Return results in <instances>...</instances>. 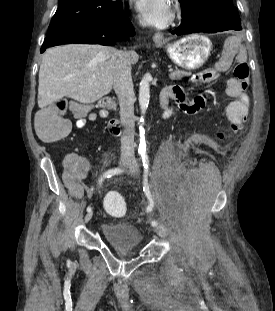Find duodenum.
I'll use <instances>...</instances> for the list:
<instances>
[{
	"mask_svg": "<svg viewBox=\"0 0 275 311\" xmlns=\"http://www.w3.org/2000/svg\"><path fill=\"white\" fill-rule=\"evenodd\" d=\"M161 105L164 108V105L167 104L168 100L166 97L160 99ZM101 105L107 109H113L115 102L112 99L106 98L102 101ZM108 129L113 135H120L122 131V126L120 121L117 118H112L109 120Z\"/></svg>",
	"mask_w": 275,
	"mask_h": 311,
	"instance_id": "410a0bca",
	"label": "duodenum"
}]
</instances>
